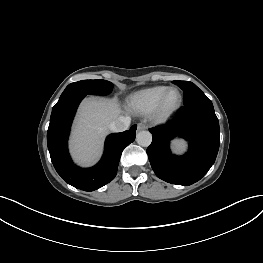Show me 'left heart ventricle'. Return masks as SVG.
I'll use <instances>...</instances> for the list:
<instances>
[{"label":"left heart ventricle","instance_id":"b2bd125f","mask_svg":"<svg viewBox=\"0 0 263 263\" xmlns=\"http://www.w3.org/2000/svg\"><path fill=\"white\" fill-rule=\"evenodd\" d=\"M179 96L176 92H172L167 99V106L172 107L178 102Z\"/></svg>","mask_w":263,"mask_h":263}]
</instances>
